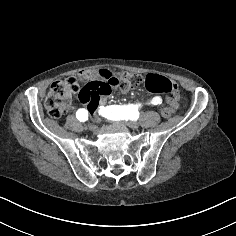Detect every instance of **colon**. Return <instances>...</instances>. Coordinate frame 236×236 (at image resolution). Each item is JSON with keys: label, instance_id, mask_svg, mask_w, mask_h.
<instances>
[{"label": "colon", "instance_id": "1", "mask_svg": "<svg viewBox=\"0 0 236 236\" xmlns=\"http://www.w3.org/2000/svg\"><path fill=\"white\" fill-rule=\"evenodd\" d=\"M144 83L147 91L152 93L166 94L169 106L165 107L161 114L169 118L176 110L178 99L177 86L169 79L149 74L143 79L140 75L130 72L112 73L109 70H84L75 78H69L54 82L45 100V108L52 118H60L67 110L68 104L65 96L78 92L79 100L88 108L98 106L102 97L107 96L113 88H132Z\"/></svg>", "mask_w": 236, "mask_h": 236}]
</instances>
